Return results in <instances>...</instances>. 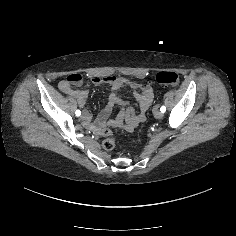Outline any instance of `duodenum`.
Segmentation results:
<instances>
[{"label":"duodenum","instance_id":"1","mask_svg":"<svg viewBox=\"0 0 236 236\" xmlns=\"http://www.w3.org/2000/svg\"><path fill=\"white\" fill-rule=\"evenodd\" d=\"M106 82L109 83L110 85H112V89H114V90L118 89L119 87H121L122 85H124L126 83L124 80L114 79V78L106 79ZM131 86L133 88L137 87L136 84H131ZM71 95L77 99L79 104L84 102V97H82V96H80L78 94H75V93L71 94ZM147 100H148V96H147L146 92L144 91V94L142 96H140V98H139V102H140V107L141 108L144 105H146ZM110 101L112 103H116V104H119V105L124 104V102L121 99H119L115 94L111 95ZM133 121L134 120H132L131 122H129L128 124H125V125L122 124L121 122H116V121H112L111 124L112 125L124 126V127H130L132 125Z\"/></svg>","mask_w":236,"mask_h":236}]
</instances>
